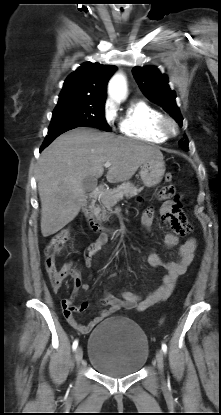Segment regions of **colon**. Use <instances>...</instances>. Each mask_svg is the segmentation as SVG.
<instances>
[{
  "mask_svg": "<svg viewBox=\"0 0 221 415\" xmlns=\"http://www.w3.org/2000/svg\"><path fill=\"white\" fill-rule=\"evenodd\" d=\"M165 181L167 183L172 181V174L167 173L165 175ZM70 236V229L64 228L54 234L46 248V260H45V268L46 272L51 284V287L54 291H57L62 286L63 282L66 278L69 276H72L75 278L76 283L79 281L78 279V272L74 268V266L71 263H67L63 265L61 268H58L55 264V255L60 248L61 245H63ZM162 323V320L160 321Z\"/></svg>",
  "mask_w": 221,
  "mask_h": 415,
  "instance_id": "1",
  "label": "colon"
}]
</instances>
